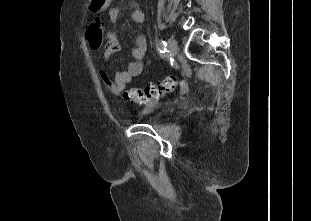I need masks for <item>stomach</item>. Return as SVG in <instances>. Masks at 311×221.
Instances as JSON below:
<instances>
[{"instance_id": "0dacf381", "label": "stomach", "mask_w": 311, "mask_h": 221, "mask_svg": "<svg viewBox=\"0 0 311 221\" xmlns=\"http://www.w3.org/2000/svg\"><path fill=\"white\" fill-rule=\"evenodd\" d=\"M108 2H109V0H96L97 10H104V8H106V6H108Z\"/></svg>"}]
</instances>
